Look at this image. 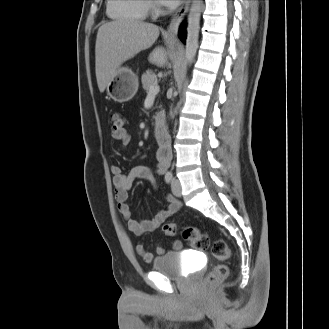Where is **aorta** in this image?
I'll use <instances>...</instances> for the list:
<instances>
[{
  "label": "aorta",
  "instance_id": "1",
  "mask_svg": "<svg viewBox=\"0 0 329 329\" xmlns=\"http://www.w3.org/2000/svg\"><path fill=\"white\" fill-rule=\"evenodd\" d=\"M202 10V0H192L188 15L187 38L185 49V62L190 65L197 52L198 37L200 29V18ZM173 115V112H171Z\"/></svg>",
  "mask_w": 329,
  "mask_h": 329
}]
</instances>
